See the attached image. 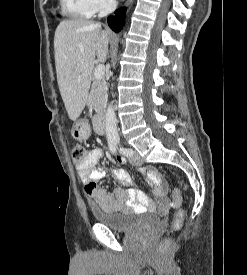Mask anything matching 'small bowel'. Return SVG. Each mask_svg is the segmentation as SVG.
<instances>
[{"mask_svg": "<svg viewBox=\"0 0 247 275\" xmlns=\"http://www.w3.org/2000/svg\"><path fill=\"white\" fill-rule=\"evenodd\" d=\"M102 156V150L95 148L90 150L85 159L77 163V170L85 186L89 183L95 185L92 194H88L93 202L103 211L118 212L126 210H155L157 207L167 211L171 206L167 197L166 185L160 173L154 168H138V172L148 178V183L153 187L155 200H152L145 192L133 188V180L128 172L122 169L114 171L115 177L123 187L112 191L99 188L98 183L104 178L105 172L97 167ZM119 163H125V159L118 157Z\"/></svg>", "mask_w": 247, "mask_h": 275, "instance_id": "c3829d8e", "label": "small bowel"}]
</instances>
